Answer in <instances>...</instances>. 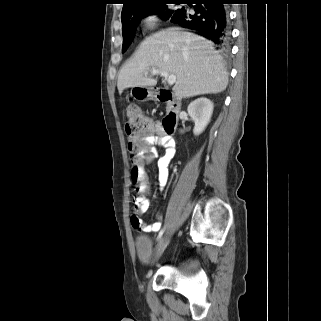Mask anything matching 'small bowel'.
<instances>
[{"label":"small bowel","instance_id":"small-bowel-1","mask_svg":"<svg viewBox=\"0 0 321 321\" xmlns=\"http://www.w3.org/2000/svg\"><path fill=\"white\" fill-rule=\"evenodd\" d=\"M141 142L146 148V150L141 153V156L147 159L152 157V153L149 150L150 147L157 145L164 148V154L158 160V183L159 188L162 190L166 187L169 180V166L176 153L175 142L158 123L152 125L151 133L144 136ZM138 191L139 190L136 191L133 202L135 210L139 214H142L149 209L150 203L146 198H138ZM161 218L162 216L158 215V221L152 224H146L140 218L137 221L130 218V222L134 229L151 233L157 232L160 229Z\"/></svg>","mask_w":321,"mask_h":321}]
</instances>
